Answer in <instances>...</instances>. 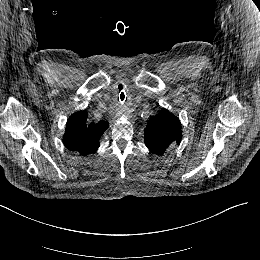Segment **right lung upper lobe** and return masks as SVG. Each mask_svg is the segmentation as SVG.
Returning a JSON list of instances; mask_svg holds the SVG:
<instances>
[{"label": "right lung upper lobe", "instance_id": "obj_1", "mask_svg": "<svg viewBox=\"0 0 260 260\" xmlns=\"http://www.w3.org/2000/svg\"><path fill=\"white\" fill-rule=\"evenodd\" d=\"M108 127L104 120L89 123L85 110L76 112L67 120L63 143L69 150L87 156L99 148V139Z\"/></svg>", "mask_w": 260, "mask_h": 260}]
</instances>
